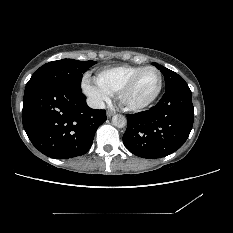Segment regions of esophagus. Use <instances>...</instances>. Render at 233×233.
<instances>
[{
	"label": "esophagus",
	"instance_id": "1",
	"mask_svg": "<svg viewBox=\"0 0 233 233\" xmlns=\"http://www.w3.org/2000/svg\"><path fill=\"white\" fill-rule=\"evenodd\" d=\"M106 114H107L108 118H111L115 114V111H113V110H107Z\"/></svg>",
	"mask_w": 233,
	"mask_h": 233
}]
</instances>
